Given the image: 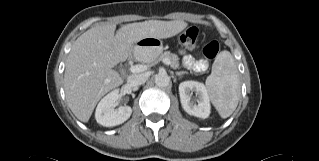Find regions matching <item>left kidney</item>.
<instances>
[{"instance_id":"left-kidney-1","label":"left kidney","mask_w":319,"mask_h":161,"mask_svg":"<svg viewBox=\"0 0 319 161\" xmlns=\"http://www.w3.org/2000/svg\"><path fill=\"white\" fill-rule=\"evenodd\" d=\"M193 92L197 95L196 100L191 99ZM179 94L182 107L189 115L204 119L210 115L209 96L203 83L184 81L179 85Z\"/></svg>"}]
</instances>
